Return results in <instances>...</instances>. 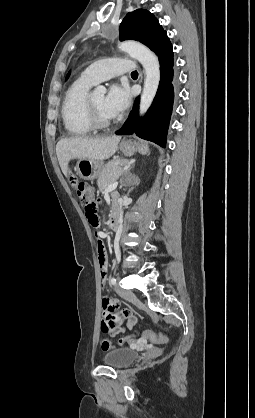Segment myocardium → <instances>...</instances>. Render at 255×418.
Instances as JSON below:
<instances>
[{"label": "myocardium", "mask_w": 255, "mask_h": 418, "mask_svg": "<svg viewBox=\"0 0 255 418\" xmlns=\"http://www.w3.org/2000/svg\"><path fill=\"white\" fill-rule=\"evenodd\" d=\"M87 114H88L89 121L94 129H105L112 125L111 120H105L100 117V115L98 114L92 102L90 94L88 95V98H87Z\"/></svg>", "instance_id": "obj_1"}]
</instances>
